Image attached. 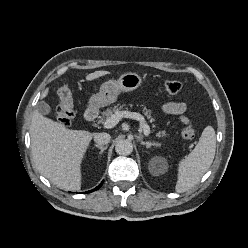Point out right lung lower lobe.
I'll return each mask as SVG.
<instances>
[{"mask_svg": "<svg viewBox=\"0 0 248 248\" xmlns=\"http://www.w3.org/2000/svg\"><path fill=\"white\" fill-rule=\"evenodd\" d=\"M102 184H103V182L99 186H97L94 190L88 191L87 193H90V192H93V191L99 189V187H101Z\"/></svg>", "mask_w": 248, "mask_h": 248, "instance_id": "obj_1", "label": "right lung lower lobe"}]
</instances>
